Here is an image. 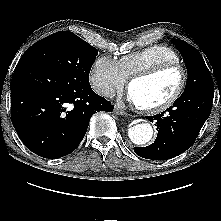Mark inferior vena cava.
Segmentation results:
<instances>
[{
  "instance_id": "obj_1",
  "label": "inferior vena cava",
  "mask_w": 221,
  "mask_h": 221,
  "mask_svg": "<svg viewBox=\"0 0 221 221\" xmlns=\"http://www.w3.org/2000/svg\"><path fill=\"white\" fill-rule=\"evenodd\" d=\"M101 92L104 96L110 97L114 93V90L111 86H103Z\"/></svg>"
}]
</instances>
